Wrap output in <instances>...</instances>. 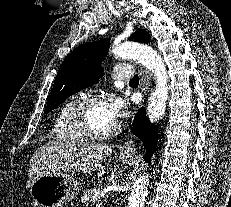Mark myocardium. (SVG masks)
<instances>
[{
	"mask_svg": "<svg viewBox=\"0 0 231 207\" xmlns=\"http://www.w3.org/2000/svg\"><path fill=\"white\" fill-rule=\"evenodd\" d=\"M98 103H105L104 97L101 95H87L78 99L71 111V123L77 134L84 140L103 141L116 135L120 130V123L116 124L108 131L103 133L93 132L85 122L84 114L86 109Z\"/></svg>",
	"mask_w": 231,
	"mask_h": 207,
	"instance_id": "myocardium-1",
	"label": "myocardium"
}]
</instances>
